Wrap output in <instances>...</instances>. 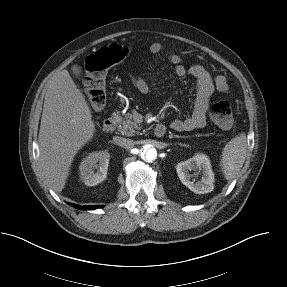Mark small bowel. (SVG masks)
Segmentation results:
<instances>
[{"label":"small bowel","instance_id":"c3829d8e","mask_svg":"<svg viewBox=\"0 0 287 287\" xmlns=\"http://www.w3.org/2000/svg\"><path fill=\"white\" fill-rule=\"evenodd\" d=\"M151 54L165 53L174 72L179 77L191 76L195 80V99L191 114L185 119H175L171 122V128L176 131H192L205 126L210 97L217 90L227 93L229 85L223 75L214 78L209 71L200 64L186 66L183 59L177 53L167 49L162 43L155 42L150 45ZM133 85L142 95H149L151 90L149 84L140 76L131 77ZM154 81V78L152 79Z\"/></svg>","mask_w":287,"mask_h":287}]
</instances>
